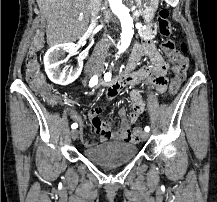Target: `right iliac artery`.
<instances>
[{
	"mask_svg": "<svg viewBox=\"0 0 217 202\" xmlns=\"http://www.w3.org/2000/svg\"><path fill=\"white\" fill-rule=\"evenodd\" d=\"M97 83H98V76H97V75H94V76L90 79V81H89V86H90V87H93V86H95ZM77 127H78V124H77V123H73V124L71 125V128H72V129H76Z\"/></svg>",
	"mask_w": 217,
	"mask_h": 202,
	"instance_id": "82829eb1",
	"label": "right iliac artery"
}]
</instances>
